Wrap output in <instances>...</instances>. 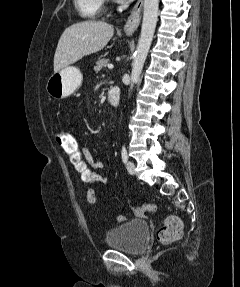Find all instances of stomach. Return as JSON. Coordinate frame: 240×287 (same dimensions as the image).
<instances>
[{"label": "stomach", "instance_id": "stomach-1", "mask_svg": "<svg viewBox=\"0 0 240 287\" xmlns=\"http://www.w3.org/2000/svg\"><path fill=\"white\" fill-rule=\"evenodd\" d=\"M81 71L73 66H67L54 73L48 79L46 91L54 99H63L72 95L82 84Z\"/></svg>", "mask_w": 240, "mask_h": 287}]
</instances>
